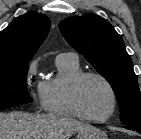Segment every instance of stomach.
I'll use <instances>...</instances> for the list:
<instances>
[{
    "mask_svg": "<svg viewBox=\"0 0 141 139\" xmlns=\"http://www.w3.org/2000/svg\"><path fill=\"white\" fill-rule=\"evenodd\" d=\"M76 139H108V137L103 131L88 126L78 131Z\"/></svg>",
    "mask_w": 141,
    "mask_h": 139,
    "instance_id": "1",
    "label": "stomach"
}]
</instances>
